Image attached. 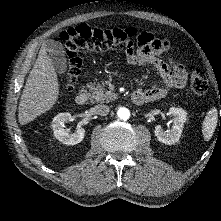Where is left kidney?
<instances>
[{
    "instance_id": "left-kidney-1",
    "label": "left kidney",
    "mask_w": 221,
    "mask_h": 221,
    "mask_svg": "<svg viewBox=\"0 0 221 221\" xmlns=\"http://www.w3.org/2000/svg\"><path fill=\"white\" fill-rule=\"evenodd\" d=\"M168 113L174 117L172 129L164 131L160 125H157L154 134L160 142L172 145L181 137L184 123L187 120V112L182 108L171 107Z\"/></svg>"
}]
</instances>
